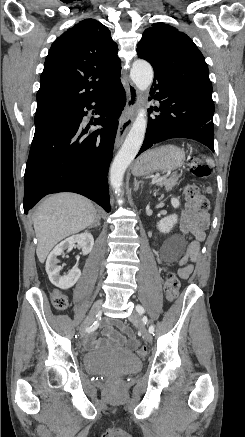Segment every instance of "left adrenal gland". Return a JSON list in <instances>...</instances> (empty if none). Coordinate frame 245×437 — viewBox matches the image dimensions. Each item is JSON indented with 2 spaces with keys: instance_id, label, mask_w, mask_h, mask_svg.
<instances>
[{
  "instance_id": "a2214340",
  "label": "left adrenal gland",
  "mask_w": 245,
  "mask_h": 437,
  "mask_svg": "<svg viewBox=\"0 0 245 437\" xmlns=\"http://www.w3.org/2000/svg\"><path fill=\"white\" fill-rule=\"evenodd\" d=\"M143 184V181H138L136 178H134V191H138L139 185Z\"/></svg>"
}]
</instances>
